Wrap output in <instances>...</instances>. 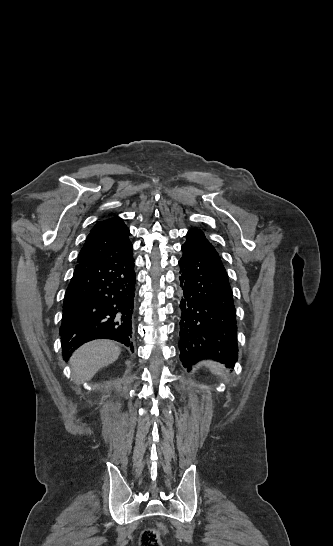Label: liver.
Wrapping results in <instances>:
<instances>
[{
  "label": "liver",
  "mask_w": 333,
  "mask_h": 546,
  "mask_svg": "<svg viewBox=\"0 0 333 546\" xmlns=\"http://www.w3.org/2000/svg\"><path fill=\"white\" fill-rule=\"evenodd\" d=\"M121 349L112 341L96 340L77 349L70 359L73 382L82 384L89 381L99 369L115 362Z\"/></svg>",
  "instance_id": "liver-1"
}]
</instances>
